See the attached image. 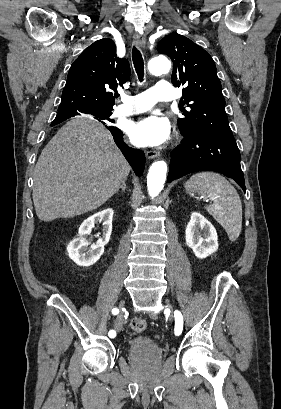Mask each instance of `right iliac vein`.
Instances as JSON below:
<instances>
[{"mask_svg":"<svg viewBox=\"0 0 281 409\" xmlns=\"http://www.w3.org/2000/svg\"><path fill=\"white\" fill-rule=\"evenodd\" d=\"M124 308V301H120L119 303V309H123ZM123 322H124V318H123V312H120L117 317H116V321H115V328L116 331L119 332L122 329L123 326Z\"/></svg>","mask_w":281,"mask_h":409,"instance_id":"63e3f726","label":"right iliac vein"}]
</instances>
